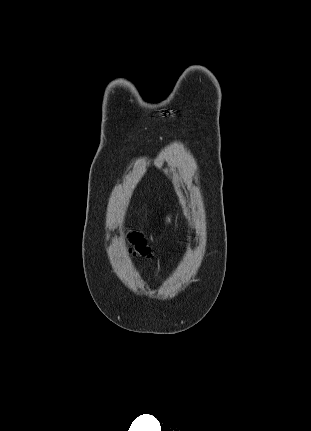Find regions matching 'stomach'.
<instances>
[{
  "label": "stomach",
  "mask_w": 311,
  "mask_h": 431,
  "mask_svg": "<svg viewBox=\"0 0 311 431\" xmlns=\"http://www.w3.org/2000/svg\"><path fill=\"white\" fill-rule=\"evenodd\" d=\"M165 221H166V223H169V221H171V214H169V216L165 217Z\"/></svg>",
  "instance_id": "stomach-1"
}]
</instances>
